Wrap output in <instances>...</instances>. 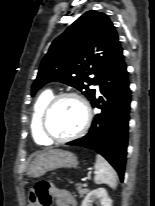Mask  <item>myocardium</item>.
Masks as SVG:
<instances>
[{
  "label": "myocardium",
  "mask_w": 155,
  "mask_h": 206,
  "mask_svg": "<svg viewBox=\"0 0 155 206\" xmlns=\"http://www.w3.org/2000/svg\"><path fill=\"white\" fill-rule=\"evenodd\" d=\"M65 98H73L80 103V105L83 109L84 118H83V123L78 131H76L75 133H73L69 136L60 138V137L53 136L49 132L48 127H47V119H48V116H49L51 110L56 105V103H58L60 100L65 99ZM91 121H92L91 108H90L87 100L82 95H80L76 92H72V91L61 92V93L54 95L50 99V101L47 103V105L45 106V108L42 112L41 118H40L41 132L45 136V138L47 140H49L50 142L63 143V142H67V141H71L73 139L79 138L82 135H84L87 132V130L89 129Z\"/></svg>",
  "instance_id": "1"
}]
</instances>
